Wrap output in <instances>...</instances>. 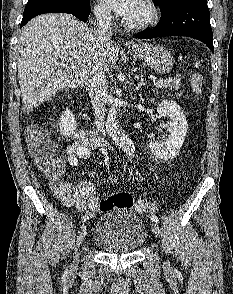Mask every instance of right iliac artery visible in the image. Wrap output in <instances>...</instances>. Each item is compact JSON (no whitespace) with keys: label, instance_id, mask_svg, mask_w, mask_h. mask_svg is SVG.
<instances>
[{"label":"right iliac artery","instance_id":"1","mask_svg":"<svg viewBox=\"0 0 233 294\" xmlns=\"http://www.w3.org/2000/svg\"><path fill=\"white\" fill-rule=\"evenodd\" d=\"M87 219H88L87 216H83V217L81 218V221H82V222H85Z\"/></svg>","mask_w":233,"mask_h":294}]
</instances>
